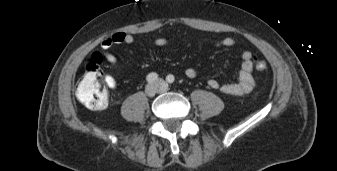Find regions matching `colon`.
Returning a JSON list of instances; mask_svg holds the SVG:
<instances>
[{
  "label": "colon",
  "mask_w": 337,
  "mask_h": 171,
  "mask_svg": "<svg viewBox=\"0 0 337 171\" xmlns=\"http://www.w3.org/2000/svg\"><path fill=\"white\" fill-rule=\"evenodd\" d=\"M253 61L257 71L266 70L267 64L263 59L255 56ZM101 64L99 54L93 55L76 88L78 100L86 107L94 110L103 109L108 102V92L103 79Z\"/></svg>",
  "instance_id": "obj_1"
}]
</instances>
